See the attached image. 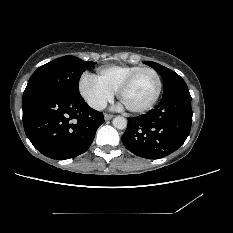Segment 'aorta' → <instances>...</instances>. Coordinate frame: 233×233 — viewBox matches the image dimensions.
Returning <instances> with one entry per match:
<instances>
[{"label":"aorta","mask_w":233,"mask_h":233,"mask_svg":"<svg viewBox=\"0 0 233 233\" xmlns=\"http://www.w3.org/2000/svg\"><path fill=\"white\" fill-rule=\"evenodd\" d=\"M113 126L117 129H125L127 127V120L122 116H117L113 119Z\"/></svg>","instance_id":"762f6f07"}]
</instances>
